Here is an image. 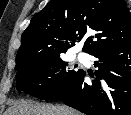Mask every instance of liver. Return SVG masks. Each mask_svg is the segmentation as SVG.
Listing matches in <instances>:
<instances>
[{"label": "liver", "mask_w": 131, "mask_h": 115, "mask_svg": "<svg viewBox=\"0 0 131 115\" xmlns=\"http://www.w3.org/2000/svg\"><path fill=\"white\" fill-rule=\"evenodd\" d=\"M5 115H80L66 106L40 105L33 101H16L8 108Z\"/></svg>", "instance_id": "6515ba94"}]
</instances>
